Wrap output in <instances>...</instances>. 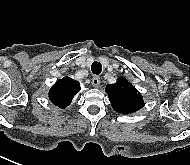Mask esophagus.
I'll return each mask as SVG.
<instances>
[{"instance_id":"34e87169","label":"esophagus","mask_w":190,"mask_h":165,"mask_svg":"<svg viewBox=\"0 0 190 165\" xmlns=\"http://www.w3.org/2000/svg\"><path fill=\"white\" fill-rule=\"evenodd\" d=\"M100 77L99 76H94L93 78H92V85H93V87H95V88H98L99 86H100Z\"/></svg>"}]
</instances>
